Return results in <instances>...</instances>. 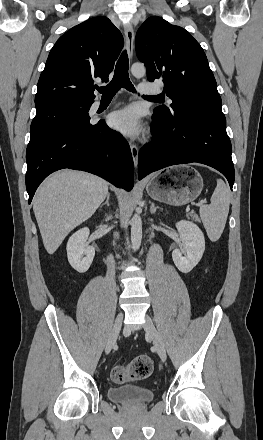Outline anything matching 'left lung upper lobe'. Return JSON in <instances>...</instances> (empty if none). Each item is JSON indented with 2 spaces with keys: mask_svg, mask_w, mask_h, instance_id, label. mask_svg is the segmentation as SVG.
<instances>
[{
  "mask_svg": "<svg viewBox=\"0 0 263 440\" xmlns=\"http://www.w3.org/2000/svg\"><path fill=\"white\" fill-rule=\"evenodd\" d=\"M136 52L147 68L149 81L160 79L170 108L161 105L156 114L170 119L175 114L221 111V97L200 44L185 29L161 17H149L136 34Z\"/></svg>",
  "mask_w": 263,
  "mask_h": 440,
  "instance_id": "obj_1",
  "label": "left lung upper lobe"
}]
</instances>
